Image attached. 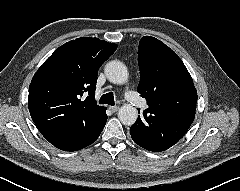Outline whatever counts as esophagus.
<instances>
[{
  "label": "esophagus",
  "mask_w": 240,
  "mask_h": 191,
  "mask_svg": "<svg viewBox=\"0 0 240 191\" xmlns=\"http://www.w3.org/2000/svg\"><path fill=\"white\" fill-rule=\"evenodd\" d=\"M109 109L114 113L119 110V107L118 106H110Z\"/></svg>",
  "instance_id": "34e87169"
}]
</instances>
